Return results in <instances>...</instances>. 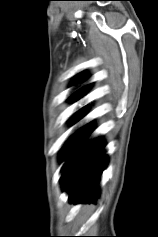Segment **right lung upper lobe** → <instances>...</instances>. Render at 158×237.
<instances>
[{
	"mask_svg": "<svg viewBox=\"0 0 158 237\" xmlns=\"http://www.w3.org/2000/svg\"><path fill=\"white\" fill-rule=\"evenodd\" d=\"M82 80H84V79H81V80H79V81H82ZM77 82H78V81H77ZM89 86H90V85H87V86H85V87L80 88L79 90H77V91L72 95V97L78 98V97L83 93V91L86 90ZM72 97H71V98H72Z\"/></svg>",
	"mask_w": 158,
	"mask_h": 237,
	"instance_id": "cb5924a9",
	"label": "right lung upper lobe"
}]
</instances>
